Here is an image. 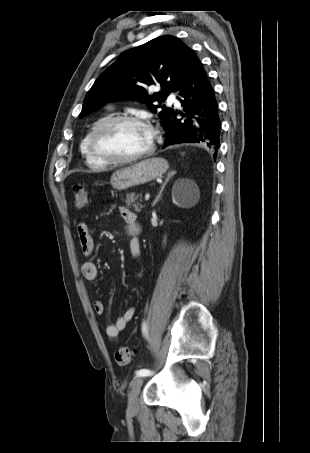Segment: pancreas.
Listing matches in <instances>:
<instances>
[{"label": "pancreas", "instance_id": "1", "mask_svg": "<svg viewBox=\"0 0 310 453\" xmlns=\"http://www.w3.org/2000/svg\"><path fill=\"white\" fill-rule=\"evenodd\" d=\"M141 198V195L139 194H135V193H128L126 194V199H125V203L128 207H131L133 206L134 210L139 212L141 210V208H143L142 204H140L137 200L138 198ZM141 201V199H140Z\"/></svg>", "mask_w": 310, "mask_h": 453}]
</instances>
